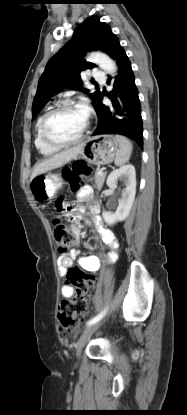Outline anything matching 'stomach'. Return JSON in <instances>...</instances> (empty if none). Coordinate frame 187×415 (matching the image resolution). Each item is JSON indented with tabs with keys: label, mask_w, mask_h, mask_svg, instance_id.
<instances>
[{
	"label": "stomach",
	"mask_w": 187,
	"mask_h": 415,
	"mask_svg": "<svg viewBox=\"0 0 187 415\" xmlns=\"http://www.w3.org/2000/svg\"><path fill=\"white\" fill-rule=\"evenodd\" d=\"M118 150L119 144L115 137L98 135L83 143L80 157L93 165H107L114 160ZM61 186V177L50 171L42 173L30 181V189L34 199L42 204L50 201Z\"/></svg>",
	"instance_id": "stomach-1"
}]
</instances>
